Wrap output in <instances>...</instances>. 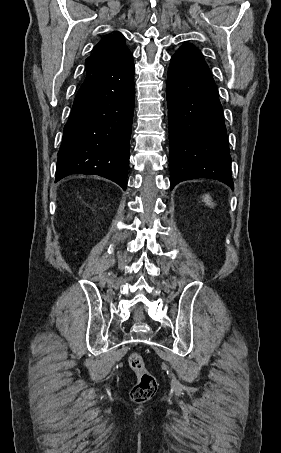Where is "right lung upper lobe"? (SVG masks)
Instances as JSON below:
<instances>
[{"label": "right lung upper lobe", "mask_w": 281, "mask_h": 453, "mask_svg": "<svg viewBox=\"0 0 281 453\" xmlns=\"http://www.w3.org/2000/svg\"><path fill=\"white\" fill-rule=\"evenodd\" d=\"M128 52L124 36L120 32L105 35L86 59V76L109 67Z\"/></svg>", "instance_id": "1"}]
</instances>
